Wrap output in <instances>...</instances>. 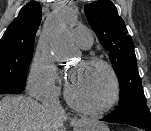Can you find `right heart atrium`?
<instances>
[{
  "label": "right heart atrium",
  "mask_w": 151,
  "mask_h": 131,
  "mask_svg": "<svg viewBox=\"0 0 151 131\" xmlns=\"http://www.w3.org/2000/svg\"><path fill=\"white\" fill-rule=\"evenodd\" d=\"M58 74L51 57L37 51L29 67L27 88L36 98H46L54 95L57 90Z\"/></svg>",
  "instance_id": "d8ad5b80"
}]
</instances>
